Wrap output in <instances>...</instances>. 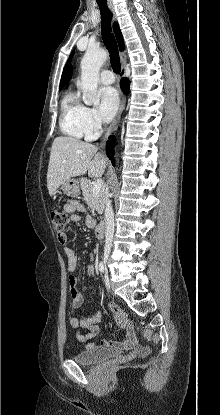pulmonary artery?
<instances>
[{"label": "pulmonary artery", "mask_w": 220, "mask_h": 415, "mask_svg": "<svg viewBox=\"0 0 220 415\" xmlns=\"http://www.w3.org/2000/svg\"><path fill=\"white\" fill-rule=\"evenodd\" d=\"M115 81L114 74L110 70H104L100 73V82L105 85L113 84ZM94 137L90 138V140Z\"/></svg>", "instance_id": "obj_1"}]
</instances>
